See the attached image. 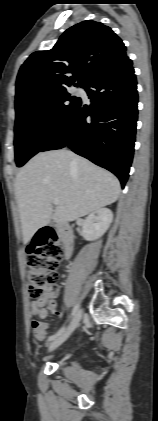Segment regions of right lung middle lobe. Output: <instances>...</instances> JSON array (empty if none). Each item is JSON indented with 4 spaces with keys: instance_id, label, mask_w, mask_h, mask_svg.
<instances>
[{
    "instance_id": "dd1d6c3e",
    "label": "right lung middle lobe",
    "mask_w": 158,
    "mask_h": 421,
    "mask_svg": "<svg viewBox=\"0 0 158 421\" xmlns=\"http://www.w3.org/2000/svg\"><path fill=\"white\" fill-rule=\"evenodd\" d=\"M68 88L41 93L15 105V159L23 166L52 138L80 104Z\"/></svg>"
}]
</instances>
